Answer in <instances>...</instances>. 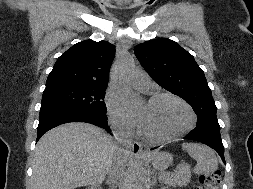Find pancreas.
Wrapping results in <instances>:
<instances>
[{
	"instance_id": "obj_1",
	"label": "pancreas",
	"mask_w": 253,
	"mask_h": 189,
	"mask_svg": "<svg viewBox=\"0 0 253 189\" xmlns=\"http://www.w3.org/2000/svg\"><path fill=\"white\" fill-rule=\"evenodd\" d=\"M160 179L172 186H186L191 179L190 169H182L173 173L162 172L160 173Z\"/></svg>"
}]
</instances>
